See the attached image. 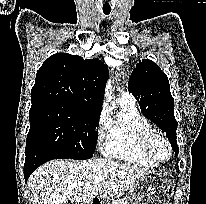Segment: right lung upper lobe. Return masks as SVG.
<instances>
[{
  "label": "right lung upper lobe",
  "mask_w": 206,
  "mask_h": 204,
  "mask_svg": "<svg viewBox=\"0 0 206 204\" xmlns=\"http://www.w3.org/2000/svg\"><path fill=\"white\" fill-rule=\"evenodd\" d=\"M107 75V67L97 59L54 54L37 71L31 101L60 102L102 110V92Z\"/></svg>",
  "instance_id": "1"
}]
</instances>
